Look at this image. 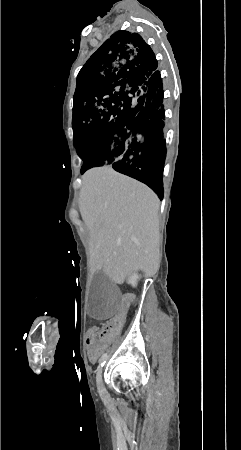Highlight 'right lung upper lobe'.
Segmentation results:
<instances>
[{
    "label": "right lung upper lobe",
    "instance_id": "cb5924a9",
    "mask_svg": "<svg viewBox=\"0 0 241 450\" xmlns=\"http://www.w3.org/2000/svg\"><path fill=\"white\" fill-rule=\"evenodd\" d=\"M157 68L155 54L140 35L118 31L89 58L77 80L113 85L125 96L144 98V82Z\"/></svg>",
    "mask_w": 241,
    "mask_h": 450
}]
</instances>
